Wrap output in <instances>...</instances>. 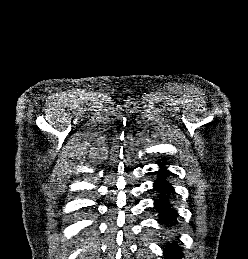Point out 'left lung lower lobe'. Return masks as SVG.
I'll return each mask as SVG.
<instances>
[{
    "label": "left lung lower lobe",
    "mask_w": 248,
    "mask_h": 259,
    "mask_svg": "<svg viewBox=\"0 0 248 259\" xmlns=\"http://www.w3.org/2000/svg\"><path fill=\"white\" fill-rule=\"evenodd\" d=\"M165 163H160V178H158L154 182V190L160 192V197L155 201V208L159 212L160 221L164 223L172 222V217L177 216V213L172 209V205L168 200V195L174 193L171 185L163 178V176L167 175L165 167L163 166ZM165 259H180L182 254L180 253V249L176 248L175 245L168 247L165 251Z\"/></svg>",
    "instance_id": "0a47b994"
}]
</instances>
